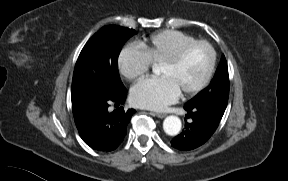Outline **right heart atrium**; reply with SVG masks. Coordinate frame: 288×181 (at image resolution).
Returning <instances> with one entry per match:
<instances>
[{"label": "right heart atrium", "instance_id": "d8ad5b80", "mask_svg": "<svg viewBox=\"0 0 288 181\" xmlns=\"http://www.w3.org/2000/svg\"><path fill=\"white\" fill-rule=\"evenodd\" d=\"M150 65L145 52L136 44L123 47L117 58L119 72L128 80H136L146 75Z\"/></svg>", "mask_w": 288, "mask_h": 181}]
</instances>
